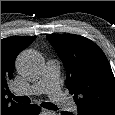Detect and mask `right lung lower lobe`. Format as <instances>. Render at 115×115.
Returning <instances> with one entry per match:
<instances>
[{
	"mask_svg": "<svg viewBox=\"0 0 115 115\" xmlns=\"http://www.w3.org/2000/svg\"><path fill=\"white\" fill-rule=\"evenodd\" d=\"M39 113H40L39 106L33 104L30 105L24 104L21 110L11 115H37Z\"/></svg>",
	"mask_w": 115,
	"mask_h": 115,
	"instance_id": "right-lung-lower-lobe-1",
	"label": "right lung lower lobe"
}]
</instances>
